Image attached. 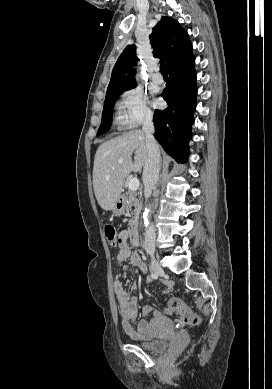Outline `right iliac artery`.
<instances>
[{"label":"right iliac artery","instance_id":"obj_1","mask_svg":"<svg viewBox=\"0 0 272 389\" xmlns=\"http://www.w3.org/2000/svg\"><path fill=\"white\" fill-rule=\"evenodd\" d=\"M147 279H148L149 281H151V280H153V279H157V275L154 274V273H151Z\"/></svg>","mask_w":272,"mask_h":389}]
</instances>
